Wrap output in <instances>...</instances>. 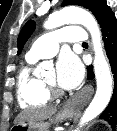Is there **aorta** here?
<instances>
[{"label":"aorta","instance_id":"1","mask_svg":"<svg viewBox=\"0 0 117 131\" xmlns=\"http://www.w3.org/2000/svg\"><path fill=\"white\" fill-rule=\"evenodd\" d=\"M67 23L83 25L89 31L95 55L93 65L97 90L93 100L80 120V127H82L84 124L97 117L108 105L113 92V78L109 64L104 55L100 28L94 16L79 7H66L50 15L44 23V28L53 29ZM48 67V63L42 62L39 64L38 69L43 70Z\"/></svg>","mask_w":117,"mask_h":131}]
</instances>
